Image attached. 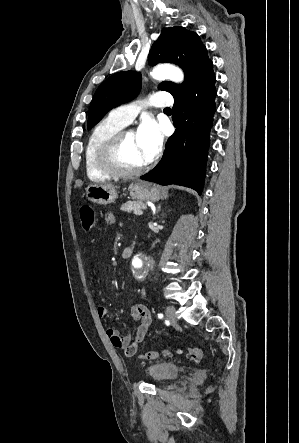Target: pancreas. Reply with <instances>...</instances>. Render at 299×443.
<instances>
[{
	"instance_id": "pancreas-1",
	"label": "pancreas",
	"mask_w": 299,
	"mask_h": 443,
	"mask_svg": "<svg viewBox=\"0 0 299 443\" xmlns=\"http://www.w3.org/2000/svg\"><path fill=\"white\" fill-rule=\"evenodd\" d=\"M145 208H146V205H144V204H142L140 202H137V201H127V202L122 204L120 209L122 211H124V212L130 213V212L135 211L137 209L142 210V209H145Z\"/></svg>"
}]
</instances>
